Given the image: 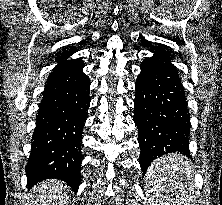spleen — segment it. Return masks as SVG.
I'll return each mask as SVG.
<instances>
[{"instance_id":"1","label":"spleen","mask_w":222,"mask_h":205,"mask_svg":"<svg viewBox=\"0 0 222 205\" xmlns=\"http://www.w3.org/2000/svg\"><path fill=\"white\" fill-rule=\"evenodd\" d=\"M192 177L184 157L173 154L156 159L145 176L150 205H196Z\"/></svg>"}]
</instances>
